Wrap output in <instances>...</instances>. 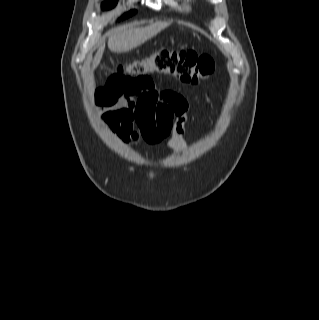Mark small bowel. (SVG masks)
Here are the masks:
<instances>
[{
  "label": "small bowel",
  "mask_w": 319,
  "mask_h": 320,
  "mask_svg": "<svg viewBox=\"0 0 319 320\" xmlns=\"http://www.w3.org/2000/svg\"><path fill=\"white\" fill-rule=\"evenodd\" d=\"M134 95H138L137 100ZM95 101L100 107L99 120L110 131L117 133L121 141H129L124 128L134 114L150 113L161 124L171 126L172 136L167 142V149L176 155L186 149L184 134L188 102L182 94L170 89L157 90L150 78L125 89L114 85L98 89L95 91Z\"/></svg>",
  "instance_id": "small-bowel-1"
}]
</instances>
